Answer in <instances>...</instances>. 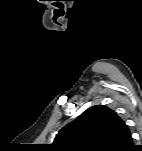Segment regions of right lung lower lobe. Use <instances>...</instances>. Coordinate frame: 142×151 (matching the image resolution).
Here are the masks:
<instances>
[{
    "mask_svg": "<svg viewBox=\"0 0 142 151\" xmlns=\"http://www.w3.org/2000/svg\"><path fill=\"white\" fill-rule=\"evenodd\" d=\"M133 147H134V148H133V149H130V151H134V150H140V151H142V147H138V149H135L136 146H134V145H133Z\"/></svg>",
    "mask_w": 142,
    "mask_h": 151,
    "instance_id": "98d812e1",
    "label": "right lung lower lobe"
}]
</instances>
